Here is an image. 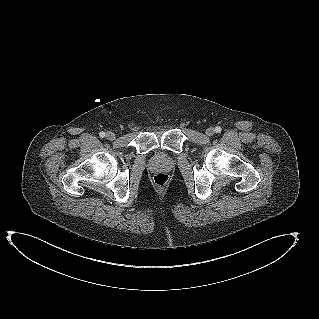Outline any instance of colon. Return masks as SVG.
<instances>
[{
	"instance_id": "obj_1",
	"label": "colon",
	"mask_w": 319,
	"mask_h": 319,
	"mask_svg": "<svg viewBox=\"0 0 319 319\" xmlns=\"http://www.w3.org/2000/svg\"><path fill=\"white\" fill-rule=\"evenodd\" d=\"M153 181L159 187L165 186L169 181V175L165 172H159L154 175Z\"/></svg>"
}]
</instances>
